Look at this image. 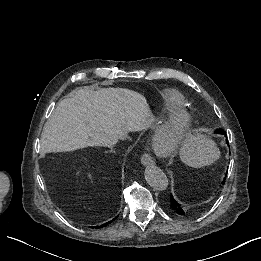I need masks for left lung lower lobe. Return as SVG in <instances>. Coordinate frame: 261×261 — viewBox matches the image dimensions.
I'll return each mask as SVG.
<instances>
[{
	"label": "left lung lower lobe",
	"mask_w": 261,
	"mask_h": 261,
	"mask_svg": "<svg viewBox=\"0 0 261 261\" xmlns=\"http://www.w3.org/2000/svg\"><path fill=\"white\" fill-rule=\"evenodd\" d=\"M170 205H171V209L175 213H177L179 215H184L185 214V211H184L183 207L177 201H175L173 199V197H171V204Z\"/></svg>",
	"instance_id": "obj_1"
}]
</instances>
